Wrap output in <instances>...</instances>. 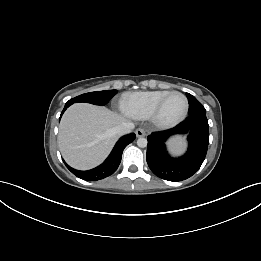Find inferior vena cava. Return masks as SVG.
I'll return each instance as SVG.
<instances>
[{"label":"inferior vena cava","mask_w":261,"mask_h":261,"mask_svg":"<svg viewBox=\"0 0 261 261\" xmlns=\"http://www.w3.org/2000/svg\"><path fill=\"white\" fill-rule=\"evenodd\" d=\"M134 128V124L132 122H123L117 127H115V133L117 136H122L125 134H129Z\"/></svg>","instance_id":"602c4592"}]
</instances>
